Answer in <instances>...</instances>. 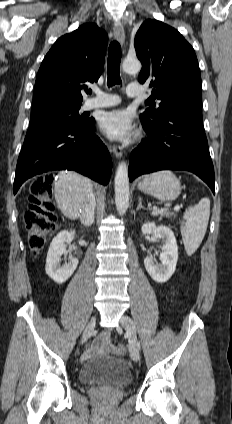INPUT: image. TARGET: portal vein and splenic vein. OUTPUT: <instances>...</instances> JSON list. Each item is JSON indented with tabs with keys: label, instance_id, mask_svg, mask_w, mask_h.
Segmentation results:
<instances>
[{
	"label": "portal vein and splenic vein",
	"instance_id": "portal-vein-and-splenic-vein-1",
	"mask_svg": "<svg viewBox=\"0 0 232 424\" xmlns=\"http://www.w3.org/2000/svg\"><path fill=\"white\" fill-rule=\"evenodd\" d=\"M173 209H174V211L177 212V211L180 210V206H175ZM167 210H168V208L154 209L153 212H152V215H159V214L166 212Z\"/></svg>",
	"mask_w": 232,
	"mask_h": 424
}]
</instances>
